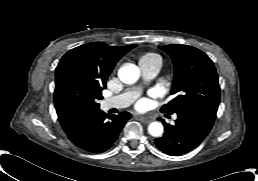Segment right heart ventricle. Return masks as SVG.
<instances>
[{"mask_svg": "<svg viewBox=\"0 0 258 181\" xmlns=\"http://www.w3.org/2000/svg\"><path fill=\"white\" fill-rule=\"evenodd\" d=\"M156 62H162L161 57L153 52H147L140 56L139 63L140 66H147Z\"/></svg>", "mask_w": 258, "mask_h": 181, "instance_id": "right-heart-ventricle-1", "label": "right heart ventricle"}]
</instances>
